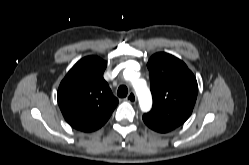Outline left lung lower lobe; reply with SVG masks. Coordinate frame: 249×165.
Listing matches in <instances>:
<instances>
[{
    "mask_svg": "<svg viewBox=\"0 0 249 165\" xmlns=\"http://www.w3.org/2000/svg\"><path fill=\"white\" fill-rule=\"evenodd\" d=\"M143 121L149 128H151L157 132H160V133H166V132H169V131L176 128V126H174V125L154 121V120L148 119L144 116H143Z\"/></svg>",
    "mask_w": 249,
    "mask_h": 165,
    "instance_id": "left-lung-lower-lobe-1",
    "label": "left lung lower lobe"
}]
</instances>
